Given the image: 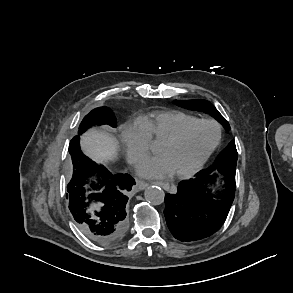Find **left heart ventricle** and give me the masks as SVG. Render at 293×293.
<instances>
[{"mask_svg": "<svg viewBox=\"0 0 293 293\" xmlns=\"http://www.w3.org/2000/svg\"><path fill=\"white\" fill-rule=\"evenodd\" d=\"M215 137L216 128L213 125L197 124L174 144L160 142L157 151L167 158L175 173L183 172L190 169L203 156Z\"/></svg>", "mask_w": 293, "mask_h": 293, "instance_id": "left-heart-ventricle-1", "label": "left heart ventricle"}]
</instances>
